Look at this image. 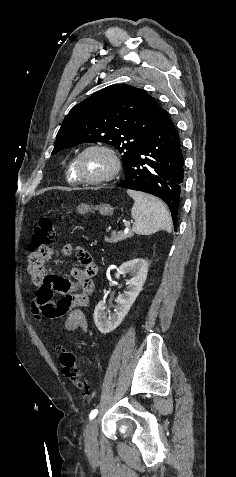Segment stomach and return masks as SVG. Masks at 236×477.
<instances>
[{"mask_svg":"<svg viewBox=\"0 0 236 477\" xmlns=\"http://www.w3.org/2000/svg\"><path fill=\"white\" fill-rule=\"evenodd\" d=\"M92 209L98 210L101 215H111L114 210V208L111 207L109 204H101L96 207L89 206L88 204H81L77 207V211L80 214H85L89 211H92Z\"/></svg>","mask_w":236,"mask_h":477,"instance_id":"1","label":"stomach"}]
</instances>
